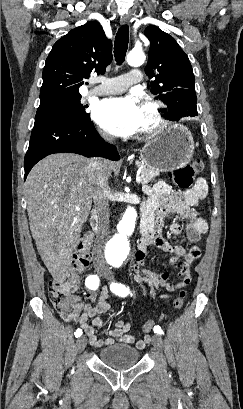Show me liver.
Masks as SVG:
<instances>
[{
	"instance_id": "1",
	"label": "liver",
	"mask_w": 243,
	"mask_h": 409,
	"mask_svg": "<svg viewBox=\"0 0 243 409\" xmlns=\"http://www.w3.org/2000/svg\"><path fill=\"white\" fill-rule=\"evenodd\" d=\"M90 160L73 153H58L39 161L25 182V197L32 236L53 279L64 282L73 249L92 205ZM108 177L113 164L102 161Z\"/></svg>"
}]
</instances>
